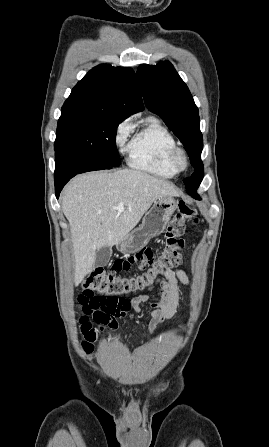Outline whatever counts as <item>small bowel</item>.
I'll return each instance as SVG.
<instances>
[{
	"label": "small bowel",
	"instance_id": "1",
	"mask_svg": "<svg viewBox=\"0 0 269 447\" xmlns=\"http://www.w3.org/2000/svg\"><path fill=\"white\" fill-rule=\"evenodd\" d=\"M179 282L185 285L189 284L190 280L187 274L181 269L168 270L155 300L141 295L129 302L130 308L136 312H140L141 304L150 303L151 312L145 318L149 323L150 332H154L158 325L167 322L175 315L179 305Z\"/></svg>",
	"mask_w": 269,
	"mask_h": 447
}]
</instances>
